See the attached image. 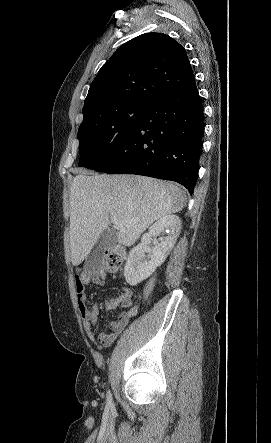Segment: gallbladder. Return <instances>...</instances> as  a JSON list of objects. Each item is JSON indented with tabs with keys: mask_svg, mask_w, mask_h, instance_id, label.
<instances>
[{
	"mask_svg": "<svg viewBox=\"0 0 271 443\" xmlns=\"http://www.w3.org/2000/svg\"><path fill=\"white\" fill-rule=\"evenodd\" d=\"M116 243V231H113V229H105V231H102L97 239V243H95V251L90 252L91 260H83L82 268L88 269L91 273L96 272L97 269H105V260L108 259V252L105 251V249H107V247H113Z\"/></svg>",
	"mask_w": 271,
	"mask_h": 443,
	"instance_id": "gallbladder-1",
	"label": "gallbladder"
}]
</instances>
